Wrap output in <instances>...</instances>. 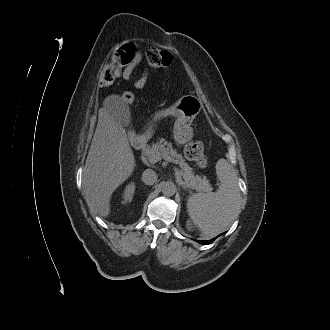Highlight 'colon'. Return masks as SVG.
<instances>
[{"label":"colon","instance_id":"1","mask_svg":"<svg viewBox=\"0 0 330 330\" xmlns=\"http://www.w3.org/2000/svg\"><path fill=\"white\" fill-rule=\"evenodd\" d=\"M135 52L136 49L132 43L124 44L117 48L101 71V83L103 85L111 84L117 78L120 71L133 61ZM145 57L149 67L154 70L168 67L172 62L171 54L166 50L158 48H149L145 52ZM121 99L125 104H132L134 95L130 91H125L122 93ZM185 154L187 158L195 161L200 168H205L208 164L204 145L200 141L188 143L185 147Z\"/></svg>","mask_w":330,"mask_h":330}]
</instances>
